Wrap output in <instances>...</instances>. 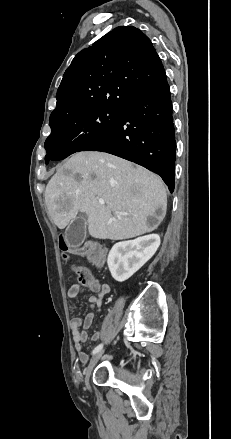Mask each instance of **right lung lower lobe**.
<instances>
[{"label": "right lung lower lobe", "instance_id": "obj_1", "mask_svg": "<svg viewBox=\"0 0 231 439\" xmlns=\"http://www.w3.org/2000/svg\"><path fill=\"white\" fill-rule=\"evenodd\" d=\"M83 151L107 152L160 175L171 192L175 176V129L168 83L133 99L118 122Z\"/></svg>", "mask_w": 231, "mask_h": 439}]
</instances>
